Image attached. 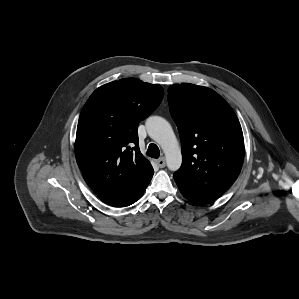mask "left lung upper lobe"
<instances>
[{
  "instance_id": "1",
  "label": "left lung upper lobe",
  "mask_w": 299,
  "mask_h": 299,
  "mask_svg": "<svg viewBox=\"0 0 299 299\" xmlns=\"http://www.w3.org/2000/svg\"><path fill=\"white\" fill-rule=\"evenodd\" d=\"M168 102L182 144V165L174 179L220 197L237 179L244 160L236 114L215 91L189 83L170 86Z\"/></svg>"
}]
</instances>
